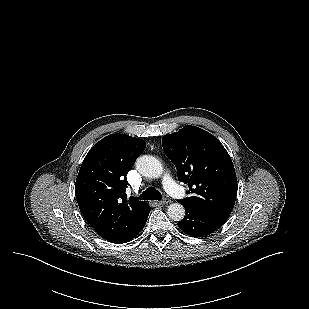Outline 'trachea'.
Returning a JSON list of instances; mask_svg holds the SVG:
<instances>
[{
  "instance_id": "trachea-1",
  "label": "trachea",
  "mask_w": 309,
  "mask_h": 309,
  "mask_svg": "<svg viewBox=\"0 0 309 309\" xmlns=\"http://www.w3.org/2000/svg\"><path fill=\"white\" fill-rule=\"evenodd\" d=\"M140 199L141 200H161L162 195L157 189L153 187H149L141 194Z\"/></svg>"
}]
</instances>
